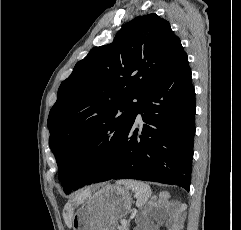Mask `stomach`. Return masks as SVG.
<instances>
[{"instance_id": "stomach-1", "label": "stomach", "mask_w": 241, "mask_h": 230, "mask_svg": "<svg viewBox=\"0 0 241 230\" xmlns=\"http://www.w3.org/2000/svg\"><path fill=\"white\" fill-rule=\"evenodd\" d=\"M131 209V194L120 185L97 187L89 199L76 211L73 230H116L119 219Z\"/></svg>"}]
</instances>
